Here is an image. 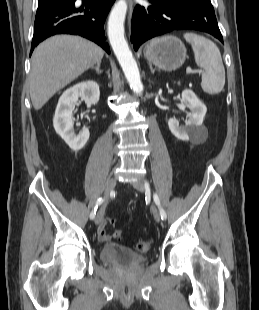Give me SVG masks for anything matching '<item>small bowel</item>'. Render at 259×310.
Masks as SVG:
<instances>
[{"label": "small bowel", "instance_id": "small-bowel-1", "mask_svg": "<svg viewBox=\"0 0 259 310\" xmlns=\"http://www.w3.org/2000/svg\"><path fill=\"white\" fill-rule=\"evenodd\" d=\"M97 236L101 242L110 244L111 237L106 232V223L104 222L100 223L98 230H97Z\"/></svg>", "mask_w": 259, "mask_h": 310}]
</instances>
